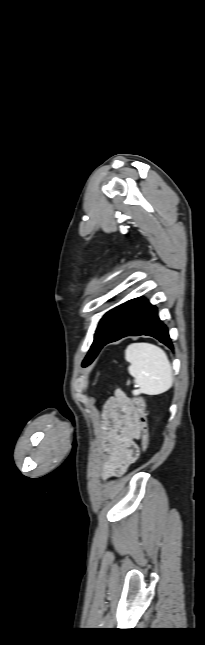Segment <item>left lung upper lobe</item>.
<instances>
[{"instance_id":"1","label":"left lung upper lobe","mask_w":205,"mask_h":645,"mask_svg":"<svg viewBox=\"0 0 205 645\" xmlns=\"http://www.w3.org/2000/svg\"><path fill=\"white\" fill-rule=\"evenodd\" d=\"M110 314H111V311L107 312L103 316V318L100 320V322L98 324V327H97V330H96V333L94 335L93 344H92L87 356L85 357V359L83 361V366L89 365L95 359V357L97 356V354L99 352L100 345H101V343L103 341V338H104V336H105V334L107 332V328H108V325H109Z\"/></svg>"}]
</instances>
